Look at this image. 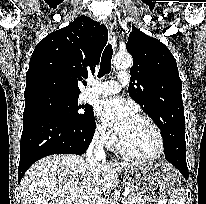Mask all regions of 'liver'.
<instances>
[{"label":"liver","instance_id":"liver-1","mask_svg":"<svg viewBox=\"0 0 206 204\" xmlns=\"http://www.w3.org/2000/svg\"><path fill=\"white\" fill-rule=\"evenodd\" d=\"M134 165L104 161L93 172L85 156H47L33 164L20 182L22 204H85L94 191L108 194L118 185L121 171Z\"/></svg>","mask_w":206,"mask_h":204}]
</instances>
